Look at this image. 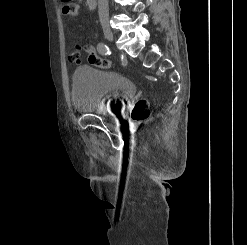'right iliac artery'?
Wrapping results in <instances>:
<instances>
[{"mask_svg":"<svg viewBox=\"0 0 247 245\" xmlns=\"http://www.w3.org/2000/svg\"><path fill=\"white\" fill-rule=\"evenodd\" d=\"M97 50L102 55L110 54L108 46L102 42L97 45Z\"/></svg>","mask_w":247,"mask_h":245,"instance_id":"1","label":"right iliac artery"}]
</instances>
